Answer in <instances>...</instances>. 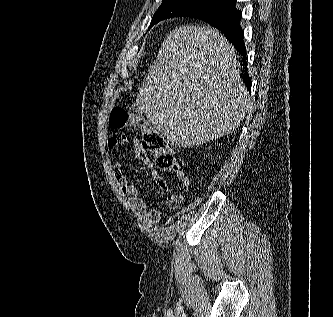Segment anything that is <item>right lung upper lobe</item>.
Here are the masks:
<instances>
[{"label": "right lung upper lobe", "instance_id": "obj_1", "mask_svg": "<svg viewBox=\"0 0 333 317\" xmlns=\"http://www.w3.org/2000/svg\"><path fill=\"white\" fill-rule=\"evenodd\" d=\"M230 3H235L236 0H228Z\"/></svg>", "mask_w": 333, "mask_h": 317}]
</instances>
